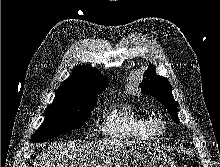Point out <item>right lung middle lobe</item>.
I'll return each mask as SVG.
<instances>
[{
    "label": "right lung middle lobe",
    "mask_w": 220,
    "mask_h": 167,
    "mask_svg": "<svg viewBox=\"0 0 220 167\" xmlns=\"http://www.w3.org/2000/svg\"><path fill=\"white\" fill-rule=\"evenodd\" d=\"M96 102L95 96L54 100L45 110V119L31 137V142H41L81 127L89 118Z\"/></svg>",
    "instance_id": "right-lung-middle-lobe-1"
}]
</instances>
